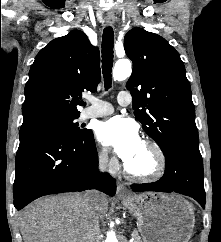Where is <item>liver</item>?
<instances>
[{
	"instance_id": "liver-1",
	"label": "liver",
	"mask_w": 221,
	"mask_h": 242,
	"mask_svg": "<svg viewBox=\"0 0 221 242\" xmlns=\"http://www.w3.org/2000/svg\"><path fill=\"white\" fill-rule=\"evenodd\" d=\"M82 194L61 195L37 200L20 215L24 242H85L87 224ZM108 211V200L100 196L98 216Z\"/></svg>"
}]
</instances>
